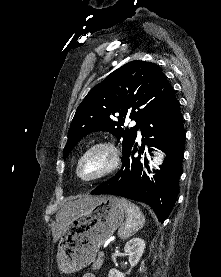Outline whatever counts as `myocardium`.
<instances>
[{
  "label": "myocardium",
  "mask_w": 221,
  "mask_h": 277,
  "mask_svg": "<svg viewBox=\"0 0 221 277\" xmlns=\"http://www.w3.org/2000/svg\"><path fill=\"white\" fill-rule=\"evenodd\" d=\"M101 151L104 152L108 156V162L105 166V168L97 173L96 175L89 177V178H84L80 174V166L82 162L84 161L85 158H87L90 154ZM120 150L119 148L112 142L110 141H100L97 142L90 147H88L78 158L75 166V173L76 176L84 182H94L97 180H100L111 173H113L117 167L120 164Z\"/></svg>",
  "instance_id": "obj_1"
}]
</instances>
